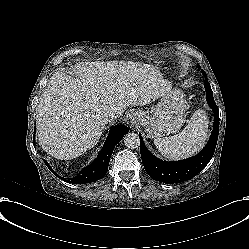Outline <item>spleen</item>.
Segmentation results:
<instances>
[{
	"label": "spleen",
	"mask_w": 249,
	"mask_h": 249,
	"mask_svg": "<svg viewBox=\"0 0 249 249\" xmlns=\"http://www.w3.org/2000/svg\"><path fill=\"white\" fill-rule=\"evenodd\" d=\"M208 120L205 111L194 112L184 130L174 136L154 139L158 151L169 160L188 158L199 151L207 139Z\"/></svg>",
	"instance_id": "3e777b00"
}]
</instances>
